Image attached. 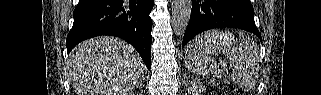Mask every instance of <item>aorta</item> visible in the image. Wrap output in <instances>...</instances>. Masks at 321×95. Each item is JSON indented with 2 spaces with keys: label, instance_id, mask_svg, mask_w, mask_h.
I'll return each mask as SVG.
<instances>
[{
  "label": "aorta",
  "instance_id": "obj_1",
  "mask_svg": "<svg viewBox=\"0 0 321 95\" xmlns=\"http://www.w3.org/2000/svg\"><path fill=\"white\" fill-rule=\"evenodd\" d=\"M192 0H172V26L177 36H182L188 26Z\"/></svg>",
  "mask_w": 321,
  "mask_h": 95
}]
</instances>
